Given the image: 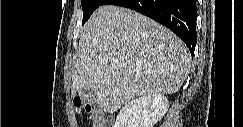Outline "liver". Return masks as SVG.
<instances>
[{"label":"liver","mask_w":243,"mask_h":127,"mask_svg":"<svg viewBox=\"0 0 243 127\" xmlns=\"http://www.w3.org/2000/svg\"><path fill=\"white\" fill-rule=\"evenodd\" d=\"M71 94L90 90L114 113L128 101L179 90L190 67L184 42L166 27L133 10L99 7L82 30Z\"/></svg>","instance_id":"obj_1"}]
</instances>
